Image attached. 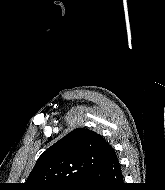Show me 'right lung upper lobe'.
Instances as JSON below:
<instances>
[{"mask_svg": "<svg viewBox=\"0 0 165 190\" xmlns=\"http://www.w3.org/2000/svg\"><path fill=\"white\" fill-rule=\"evenodd\" d=\"M116 153L99 134L77 128L41 154L29 174L26 190L76 183L93 168L114 158Z\"/></svg>", "mask_w": 165, "mask_h": 190, "instance_id": "1", "label": "right lung upper lobe"}]
</instances>
